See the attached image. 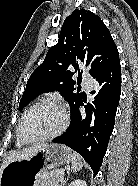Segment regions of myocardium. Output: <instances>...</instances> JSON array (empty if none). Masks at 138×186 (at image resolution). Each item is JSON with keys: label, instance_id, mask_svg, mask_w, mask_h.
<instances>
[{"label": "myocardium", "instance_id": "1", "mask_svg": "<svg viewBox=\"0 0 138 186\" xmlns=\"http://www.w3.org/2000/svg\"><path fill=\"white\" fill-rule=\"evenodd\" d=\"M45 105H51V106H54L58 109L61 110L62 114H63V121H62V124L61 126L59 127L58 130H56L55 132L49 134V135H46V136H43V137H39V138H33V139H28L26 138L23 133H22V125H23V122H24V119L26 118V116L35 108L37 107H40V106H45ZM68 123H69V112L67 110V108L61 104L59 101L57 100H54V99H44V100H41V101H38L36 103H34L33 105H31L29 108H27L24 113L22 114L20 120H19V123H18V127H17V135L19 137V139L24 142L25 144H32V143H38V142H43V141H48V140H51V139H54L56 138L57 136H59L60 134H62L67 126H68Z\"/></svg>", "mask_w": 138, "mask_h": 186}]
</instances>
